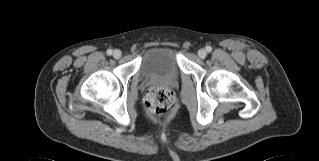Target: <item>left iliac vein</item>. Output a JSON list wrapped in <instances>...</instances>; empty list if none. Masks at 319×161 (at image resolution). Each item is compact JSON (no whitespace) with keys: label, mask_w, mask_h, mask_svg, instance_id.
I'll return each mask as SVG.
<instances>
[{"label":"left iliac vein","mask_w":319,"mask_h":161,"mask_svg":"<svg viewBox=\"0 0 319 161\" xmlns=\"http://www.w3.org/2000/svg\"><path fill=\"white\" fill-rule=\"evenodd\" d=\"M198 56L200 57V58H205L206 56H207V52H206V50L205 49H199L198 50Z\"/></svg>","instance_id":"4c4485c4"}]
</instances>
